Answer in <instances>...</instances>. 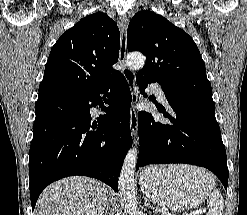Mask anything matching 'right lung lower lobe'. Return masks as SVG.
Returning <instances> with one entry per match:
<instances>
[{
    "instance_id": "1",
    "label": "right lung lower lobe",
    "mask_w": 247,
    "mask_h": 215,
    "mask_svg": "<svg viewBox=\"0 0 247 215\" xmlns=\"http://www.w3.org/2000/svg\"><path fill=\"white\" fill-rule=\"evenodd\" d=\"M100 94L109 106L102 109L106 115L91 122L90 108L102 103ZM131 100L119 71L89 89L40 84L29 158L32 209L48 184L67 176L94 177L118 191V176L132 145Z\"/></svg>"
}]
</instances>
